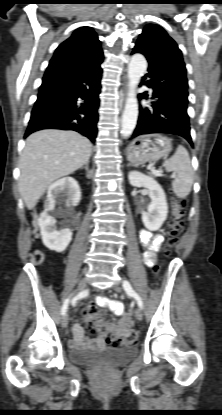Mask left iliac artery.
<instances>
[{"mask_svg":"<svg viewBox=\"0 0 222 415\" xmlns=\"http://www.w3.org/2000/svg\"><path fill=\"white\" fill-rule=\"evenodd\" d=\"M123 288L130 297H133L137 301L138 306L142 309L143 301L141 297L133 290L131 284L127 280L123 282Z\"/></svg>","mask_w":222,"mask_h":415,"instance_id":"1","label":"left iliac artery"}]
</instances>
